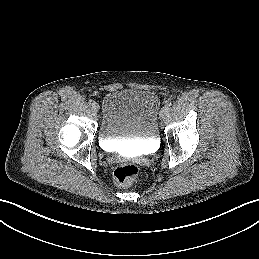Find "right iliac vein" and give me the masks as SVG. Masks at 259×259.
<instances>
[{
    "instance_id": "right-iliac-vein-1",
    "label": "right iliac vein",
    "mask_w": 259,
    "mask_h": 259,
    "mask_svg": "<svg viewBox=\"0 0 259 259\" xmlns=\"http://www.w3.org/2000/svg\"><path fill=\"white\" fill-rule=\"evenodd\" d=\"M92 108H93V110H94L95 112H98V111H99V105H98L97 103H94V104L92 105Z\"/></svg>"
}]
</instances>
